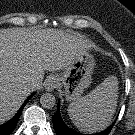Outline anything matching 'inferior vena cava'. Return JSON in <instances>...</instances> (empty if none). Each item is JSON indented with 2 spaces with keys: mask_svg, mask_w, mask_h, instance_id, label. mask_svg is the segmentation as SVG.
Here are the masks:
<instances>
[{
  "mask_svg": "<svg viewBox=\"0 0 135 135\" xmlns=\"http://www.w3.org/2000/svg\"><path fill=\"white\" fill-rule=\"evenodd\" d=\"M26 87H27L28 89H32V88L35 87V83H34V82H29V83H27Z\"/></svg>",
  "mask_w": 135,
  "mask_h": 135,
  "instance_id": "602c4592",
  "label": "inferior vena cava"
}]
</instances>
